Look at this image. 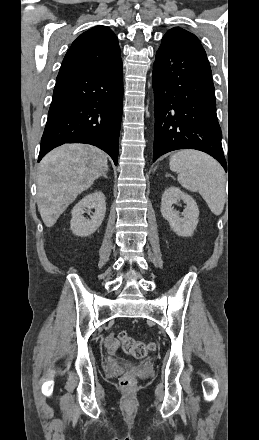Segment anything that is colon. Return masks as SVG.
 Listing matches in <instances>:
<instances>
[{"label":"colon","instance_id":"5ec220e1","mask_svg":"<svg viewBox=\"0 0 259 440\" xmlns=\"http://www.w3.org/2000/svg\"><path fill=\"white\" fill-rule=\"evenodd\" d=\"M118 345L124 350L125 353L135 357L143 358L147 356L151 351L155 350L154 343L143 342L134 339L126 331H121L118 334ZM135 379L131 374H125L120 379V386L123 389H130L134 385Z\"/></svg>","mask_w":259,"mask_h":440}]
</instances>
